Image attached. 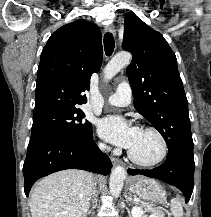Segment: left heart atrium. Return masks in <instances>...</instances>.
<instances>
[{
    "instance_id": "obj_1",
    "label": "left heart atrium",
    "mask_w": 211,
    "mask_h": 217,
    "mask_svg": "<svg viewBox=\"0 0 211 217\" xmlns=\"http://www.w3.org/2000/svg\"><path fill=\"white\" fill-rule=\"evenodd\" d=\"M140 129L130 126L119 116H108L99 121L98 133L105 140L131 149L135 144Z\"/></svg>"
}]
</instances>
